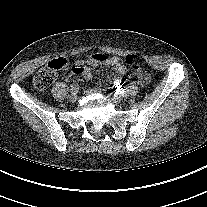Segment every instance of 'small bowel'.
Returning <instances> with one entry per match:
<instances>
[{
  "label": "small bowel",
  "instance_id": "1",
  "mask_svg": "<svg viewBox=\"0 0 207 207\" xmlns=\"http://www.w3.org/2000/svg\"><path fill=\"white\" fill-rule=\"evenodd\" d=\"M97 55L98 54H95L93 56L82 57L80 60H78L77 63L80 67L75 68L74 70L75 75L85 80L90 79L92 77L90 68L102 64L112 66L114 71L119 74L122 75L130 74L129 69L121 63L120 59L117 56H110V58L106 61H99L96 58ZM149 82H150V77L148 75H142L138 80V83L143 86L148 85Z\"/></svg>",
  "mask_w": 207,
  "mask_h": 207
}]
</instances>
